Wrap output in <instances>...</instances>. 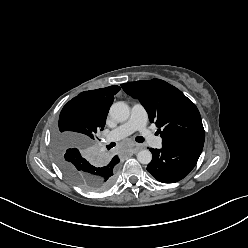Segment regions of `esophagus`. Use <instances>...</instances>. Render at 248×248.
Returning a JSON list of instances; mask_svg holds the SVG:
<instances>
[{
    "label": "esophagus",
    "instance_id": "esophagus-1",
    "mask_svg": "<svg viewBox=\"0 0 248 248\" xmlns=\"http://www.w3.org/2000/svg\"><path fill=\"white\" fill-rule=\"evenodd\" d=\"M142 149V147L140 146V145H138V144H134L133 146H132V152L133 153H137L139 150H141Z\"/></svg>",
    "mask_w": 248,
    "mask_h": 248
}]
</instances>
